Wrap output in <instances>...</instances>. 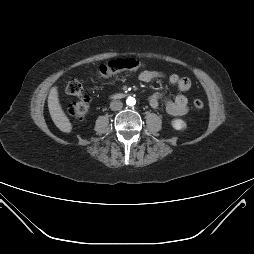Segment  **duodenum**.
I'll return each mask as SVG.
<instances>
[{"instance_id": "410a0bca", "label": "duodenum", "mask_w": 254, "mask_h": 254, "mask_svg": "<svg viewBox=\"0 0 254 254\" xmlns=\"http://www.w3.org/2000/svg\"><path fill=\"white\" fill-rule=\"evenodd\" d=\"M123 96V94H117V95H115V97H122Z\"/></svg>"}]
</instances>
